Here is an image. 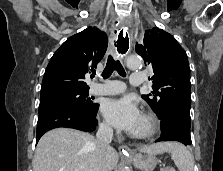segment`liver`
<instances>
[{
  "instance_id": "1",
  "label": "liver",
  "mask_w": 223,
  "mask_h": 171,
  "mask_svg": "<svg viewBox=\"0 0 223 171\" xmlns=\"http://www.w3.org/2000/svg\"><path fill=\"white\" fill-rule=\"evenodd\" d=\"M96 144L91 134L69 128H56L39 140L33 159V171H93ZM141 152L163 154L170 151L169 143L144 146ZM107 171L118 164L116 150L108 146L104 151Z\"/></svg>"
}]
</instances>
